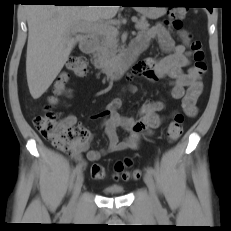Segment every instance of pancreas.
Here are the masks:
<instances>
[{
  "mask_svg": "<svg viewBox=\"0 0 231 231\" xmlns=\"http://www.w3.org/2000/svg\"><path fill=\"white\" fill-rule=\"evenodd\" d=\"M149 26L150 24L144 17L137 20L135 24V28L140 31L147 30ZM119 51L117 36L102 35L100 45L94 53V65L101 69L111 68L114 66Z\"/></svg>",
  "mask_w": 231,
  "mask_h": 231,
  "instance_id": "1",
  "label": "pancreas"
}]
</instances>
